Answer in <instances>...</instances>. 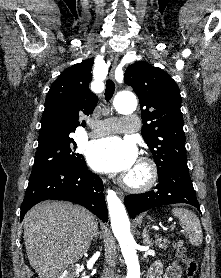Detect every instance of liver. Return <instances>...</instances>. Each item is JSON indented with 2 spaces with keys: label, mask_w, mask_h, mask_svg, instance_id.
I'll use <instances>...</instances> for the list:
<instances>
[{
  "label": "liver",
  "mask_w": 221,
  "mask_h": 278,
  "mask_svg": "<svg viewBox=\"0 0 221 278\" xmlns=\"http://www.w3.org/2000/svg\"><path fill=\"white\" fill-rule=\"evenodd\" d=\"M28 260L39 278H59L83 257L98 229L94 215L65 201H44L23 219Z\"/></svg>",
  "instance_id": "1"
}]
</instances>
